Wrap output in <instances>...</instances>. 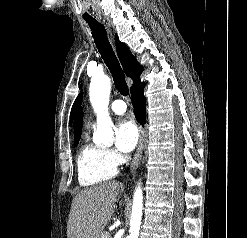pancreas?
Segmentation results:
<instances>
[{
	"instance_id": "obj_1",
	"label": "pancreas",
	"mask_w": 247,
	"mask_h": 238,
	"mask_svg": "<svg viewBox=\"0 0 247 238\" xmlns=\"http://www.w3.org/2000/svg\"><path fill=\"white\" fill-rule=\"evenodd\" d=\"M100 238H111L109 232H103Z\"/></svg>"
}]
</instances>
